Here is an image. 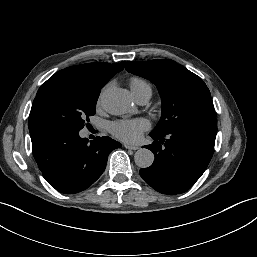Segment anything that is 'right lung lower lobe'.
Segmentation results:
<instances>
[{"label": "right lung lower lobe", "instance_id": "right-lung-lower-lobe-1", "mask_svg": "<svg viewBox=\"0 0 257 257\" xmlns=\"http://www.w3.org/2000/svg\"><path fill=\"white\" fill-rule=\"evenodd\" d=\"M33 155L43 177L57 191L85 190L103 173L108 155L121 144L108 136L88 143L79 132L36 128L30 130Z\"/></svg>", "mask_w": 257, "mask_h": 257}]
</instances>
